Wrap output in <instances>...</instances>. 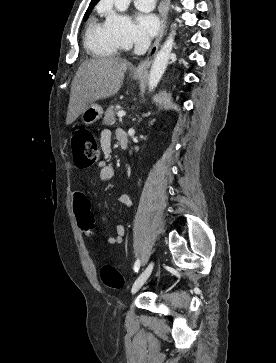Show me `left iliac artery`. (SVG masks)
I'll list each match as a JSON object with an SVG mask.
<instances>
[{"mask_svg": "<svg viewBox=\"0 0 276 363\" xmlns=\"http://www.w3.org/2000/svg\"><path fill=\"white\" fill-rule=\"evenodd\" d=\"M139 268H140V260L138 259V260L135 262V264H134V271H135V272H138Z\"/></svg>", "mask_w": 276, "mask_h": 363, "instance_id": "1", "label": "left iliac artery"}]
</instances>
